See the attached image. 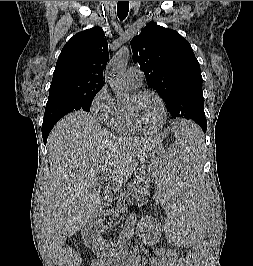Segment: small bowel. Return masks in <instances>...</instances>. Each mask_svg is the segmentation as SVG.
Segmentation results:
<instances>
[{
	"instance_id": "small-bowel-1",
	"label": "small bowel",
	"mask_w": 253,
	"mask_h": 266,
	"mask_svg": "<svg viewBox=\"0 0 253 266\" xmlns=\"http://www.w3.org/2000/svg\"><path fill=\"white\" fill-rule=\"evenodd\" d=\"M158 258H152L148 261L143 260L139 254L130 252L121 259L116 260L123 266H182V260L176 251L166 248H158L155 251ZM102 260L93 261L91 266H103Z\"/></svg>"
}]
</instances>
